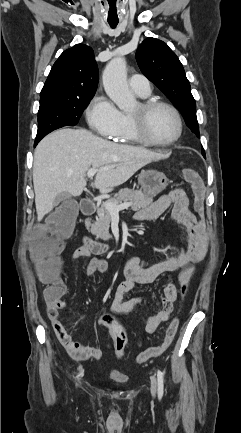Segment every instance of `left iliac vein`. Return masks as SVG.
Instances as JSON below:
<instances>
[{"instance_id":"4c4485c4","label":"left iliac vein","mask_w":241,"mask_h":433,"mask_svg":"<svg viewBox=\"0 0 241 433\" xmlns=\"http://www.w3.org/2000/svg\"><path fill=\"white\" fill-rule=\"evenodd\" d=\"M156 392H157V380H156L155 376H152V378H151V394L153 396H155Z\"/></svg>"}]
</instances>
